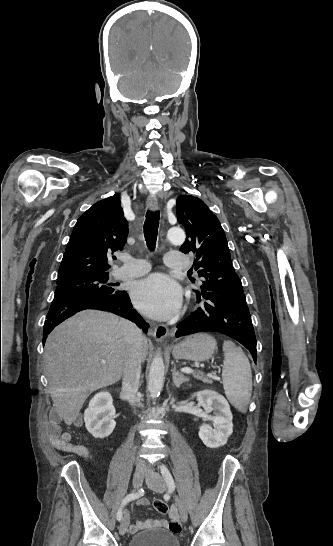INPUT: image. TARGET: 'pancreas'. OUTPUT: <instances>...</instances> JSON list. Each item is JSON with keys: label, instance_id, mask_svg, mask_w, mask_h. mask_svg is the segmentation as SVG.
Here are the masks:
<instances>
[{"label": "pancreas", "instance_id": "obj_1", "mask_svg": "<svg viewBox=\"0 0 333 546\" xmlns=\"http://www.w3.org/2000/svg\"><path fill=\"white\" fill-rule=\"evenodd\" d=\"M194 378L198 379V380H201L202 382H205V383H212V380H210L208 377L204 376L201 372L200 373H194L193 374Z\"/></svg>", "mask_w": 333, "mask_h": 546}]
</instances>
